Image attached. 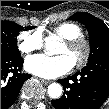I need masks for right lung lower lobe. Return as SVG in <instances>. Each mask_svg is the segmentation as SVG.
<instances>
[{
  "instance_id": "1",
  "label": "right lung lower lobe",
  "mask_w": 109,
  "mask_h": 109,
  "mask_svg": "<svg viewBox=\"0 0 109 109\" xmlns=\"http://www.w3.org/2000/svg\"><path fill=\"white\" fill-rule=\"evenodd\" d=\"M22 65L20 55L1 54V109H8L15 102L23 83L31 77L19 73Z\"/></svg>"
}]
</instances>
